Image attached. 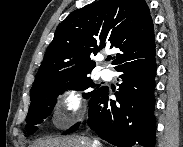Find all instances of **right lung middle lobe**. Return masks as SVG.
<instances>
[{
    "instance_id": "obj_1",
    "label": "right lung middle lobe",
    "mask_w": 183,
    "mask_h": 147,
    "mask_svg": "<svg viewBox=\"0 0 183 147\" xmlns=\"http://www.w3.org/2000/svg\"><path fill=\"white\" fill-rule=\"evenodd\" d=\"M95 88L83 94L84 98H91L92 95L99 89V86L94 85L93 81L88 75L62 78L51 82L50 84L32 90L30 93L31 105L28 115L26 117V131L28 134H33L37 130L38 124L42 123L52 112L59 94L64 90H88Z\"/></svg>"
}]
</instances>
